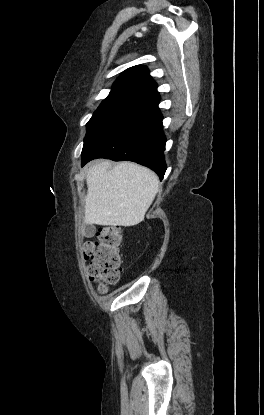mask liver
Here are the masks:
<instances>
[{
  "label": "liver",
  "instance_id": "1",
  "mask_svg": "<svg viewBox=\"0 0 264 415\" xmlns=\"http://www.w3.org/2000/svg\"><path fill=\"white\" fill-rule=\"evenodd\" d=\"M84 222L103 226H134L143 221L158 190L159 179L152 170L121 162L92 164L86 174Z\"/></svg>",
  "mask_w": 264,
  "mask_h": 415
}]
</instances>
